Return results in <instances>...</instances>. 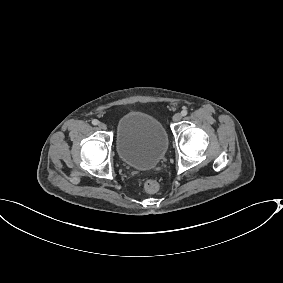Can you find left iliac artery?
Here are the masks:
<instances>
[{
  "instance_id": "left-iliac-artery-1",
  "label": "left iliac artery",
  "mask_w": 283,
  "mask_h": 283,
  "mask_svg": "<svg viewBox=\"0 0 283 283\" xmlns=\"http://www.w3.org/2000/svg\"><path fill=\"white\" fill-rule=\"evenodd\" d=\"M187 113H188L187 110H182V111H181V115H182V116H186Z\"/></svg>"
}]
</instances>
